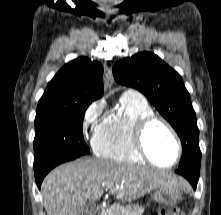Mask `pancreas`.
I'll return each instance as SVG.
<instances>
[{"label":"pancreas","instance_id":"pancreas-1","mask_svg":"<svg viewBox=\"0 0 221 215\" xmlns=\"http://www.w3.org/2000/svg\"><path fill=\"white\" fill-rule=\"evenodd\" d=\"M142 210L141 207L132 209L119 204H114L107 209L104 215H141Z\"/></svg>","mask_w":221,"mask_h":215}]
</instances>
